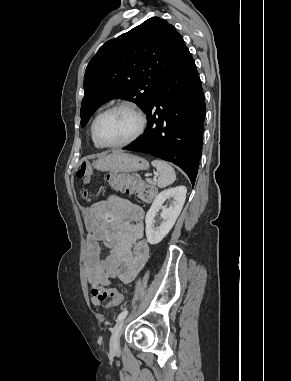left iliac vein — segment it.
I'll return each instance as SVG.
<instances>
[{
    "mask_svg": "<svg viewBox=\"0 0 291 381\" xmlns=\"http://www.w3.org/2000/svg\"><path fill=\"white\" fill-rule=\"evenodd\" d=\"M125 320L122 319L117 326L114 329V332L112 334L111 340H110V348L112 350H118L119 349V339L123 332Z\"/></svg>",
    "mask_w": 291,
    "mask_h": 381,
    "instance_id": "obj_1",
    "label": "left iliac vein"
}]
</instances>
